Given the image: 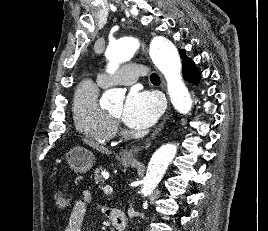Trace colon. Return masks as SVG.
Returning <instances> with one entry per match:
<instances>
[{
    "label": "colon",
    "instance_id": "1",
    "mask_svg": "<svg viewBox=\"0 0 268 231\" xmlns=\"http://www.w3.org/2000/svg\"><path fill=\"white\" fill-rule=\"evenodd\" d=\"M53 200L57 209L64 210L69 207V197L62 190L53 192Z\"/></svg>",
    "mask_w": 268,
    "mask_h": 231
}]
</instances>
